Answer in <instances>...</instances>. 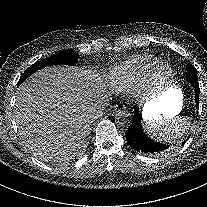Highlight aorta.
Instances as JSON below:
<instances>
[{"mask_svg": "<svg viewBox=\"0 0 207 207\" xmlns=\"http://www.w3.org/2000/svg\"><path fill=\"white\" fill-rule=\"evenodd\" d=\"M115 121L119 126H128L131 122V114L124 110H118L115 113Z\"/></svg>", "mask_w": 207, "mask_h": 207, "instance_id": "1", "label": "aorta"}]
</instances>
